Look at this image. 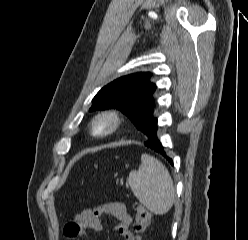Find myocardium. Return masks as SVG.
I'll use <instances>...</instances> for the list:
<instances>
[{"instance_id": "myocardium-1", "label": "myocardium", "mask_w": 248, "mask_h": 240, "mask_svg": "<svg viewBox=\"0 0 248 240\" xmlns=\"http://www.w3.org/2000/svg\"><path fill=\"white\" fill-rule=\"evenodd\" d=\"M100 119H109L111 122V125L108 129L104 131H97L96 130V124ZM122 115L115 109H104L97 113L91 123V131L95 136H108L113 134L115 131L119 129V127L122 124Z\"/></svg>"}]
</instances>
